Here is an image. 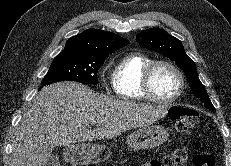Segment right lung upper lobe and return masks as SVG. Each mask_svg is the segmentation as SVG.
I'll return each mask as SVG.
<instances>
[{"label":"right lung upper lobe","mask_w":231,"mask_h":166,"mask_svg":"<svg viewBox=\"0 0 231 166\" xmlns=\"http://www.w3.org/2000/svg\"><path fill=\"white\" fill-rule=\"evenodd\" d=\"M128 44V40L114 33L99 29H88L69 38L63 51L89 56H106Z\"/></svg>","instance_id":"obj_1"}]
</instances>
